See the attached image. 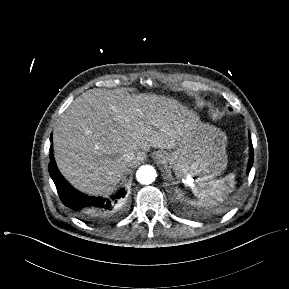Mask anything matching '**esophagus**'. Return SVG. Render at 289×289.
<instances>
[{
  "label": "esophagus",
  "mask_w": 289,
  "mask_h": 289,
  "mask_svg": "<svg viewBox=\"0 0 289 289\" xmlns=\"http://www.w3.org/2000/svg\"><path fill=\"white\" fill-rule=\"evenodd\" d=\"M156 164H165L167 162V156L163 153H156L153 157Z\"/></svg>",
  "instance_id": "34e87169"
}]
</instances>
